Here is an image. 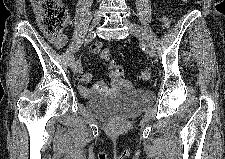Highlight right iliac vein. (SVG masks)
Wrapping results in <instances>:
<instances>
[{"label":"right iliac vein","mask_w":225,"mask_h":159,"mask_svg":"<svg viewBox=\"0 0 225 159\" xmlns=\"http://www.w3.org/2000/svg\"><path fill=\"white\" fill-rule=\"evenodd\" d=\"M101 21V13L100 12H95L94 15L92 16V27L94 28L95 26H97ZM80 64L78 61L74 62L72 64V70L74 73H77L80 71Z\"/></svg>","instance_id":"right-iliac-vein-1"}]
</instances>
